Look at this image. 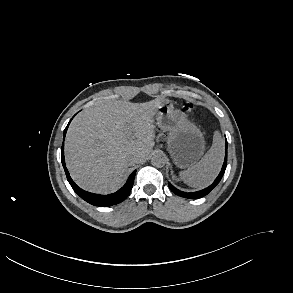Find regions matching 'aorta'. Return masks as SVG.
Here are the masks:
<instances>
[{
	"label": "aorta",
	"instance_id": "obj_1",
	"mask_svg": "<svg viewBox=\"0 0 293 293\" xmlns=\"http://www.w3.org/2000/svg\"><path fill=\"white\" fill-rule=\"evenodd\" d=\"M151 163L155 167H163L166 164V157L162 154H155L151 159Z\"/></svg>",
	"mask_w": 293,
	"mask_h": 293
}]
</instances>
